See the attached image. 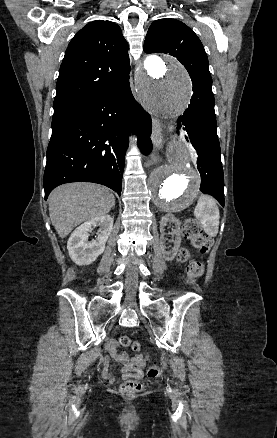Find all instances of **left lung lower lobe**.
Masks as SVG:
<instances>
[{
	"label": "left lung lower lobe",
	"instance_id": "left-lung-lower-lobe-1",
	"mask_svg": "<svg viewBox=\"0 0 277 438\" xmlns=\"http://www.w3.org/2000/svg\"><path fill=\"white\" fill-rule=\"evenodd\" d=\"M182 125L184 126L182 129L187 132L198 153L197 168L201 175L200 190L212 195L224 206V178L214 100L206 103L191 100L182 119H178V127ZM185 138L187 139V136Z\"/></svg>",
	"mask_w": 277,
	"mask_h": 438
}]
</instances>
